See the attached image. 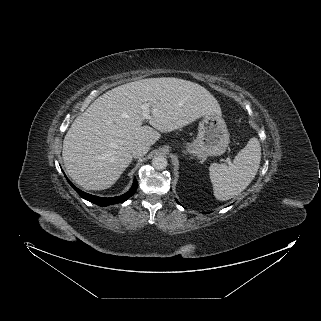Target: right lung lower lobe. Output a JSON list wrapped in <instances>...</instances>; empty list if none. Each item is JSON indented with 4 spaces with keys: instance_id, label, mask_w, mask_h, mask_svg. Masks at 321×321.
Wrapping results in <instances>:
<instances>
[{
    "instance_id": "1",
    "label": "right lung lower lobe",
    "mask_w": 321,
    "mask_h": 321,
    "mask_svg": "<svg viewBox=\"0 0 321 321\" xmlns=\"http://www.w3.org/2000/svg\"><path fill=\"white\" fill-rule=\"evenodd\" d=\"M66 179L69 182V184L74 188V190L82 198H84V199H86L96 205H99V206H108V205L124 202L128 198H130L136 192V189H137V180L135 178L132 187L125 194H123L121 196H117V197L104 198V197H98V196H94V195L85 193V192L81 191L80 189H78L77 187H75L67 177H66Z\"/></svg>"
}]
</instances>
